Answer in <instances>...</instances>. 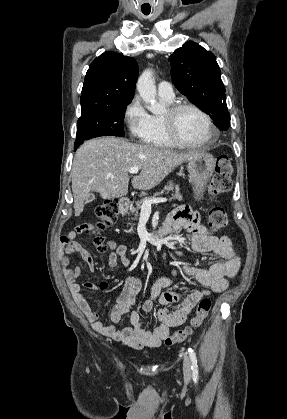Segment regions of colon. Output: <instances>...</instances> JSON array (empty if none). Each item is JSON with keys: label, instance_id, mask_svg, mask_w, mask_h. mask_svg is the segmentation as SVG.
<instances>
[{"label": "colon", "instance_id": "5ec220e1", "mask_svg": "<svg viewBox=\"0 0 287 419\" xmlns=\"http://www.w3.org/2000/svg\"><path fill=\"white\" fill-rule=\"evenodd\" d=\"M233 166L226 156L218 157L215 164V172L209 185V193L215 197L228 192L232 187ZM95 216L98 223L90 227L94 234V244L98 249H103V239L100 233L106 228L115 225L118 216V203L115 200H105L95 208ZM227 226V215L222 208L214 207L209 211V227L213 231H222ZM211 309V301L204 298L198 304L196 313L190 324L184 329L174 332L165 339L167 346L181 343L188 339L193 332L201 326Z\"/></svg>", "mask_w": 287, "mask_h": 419}]
</instances>
